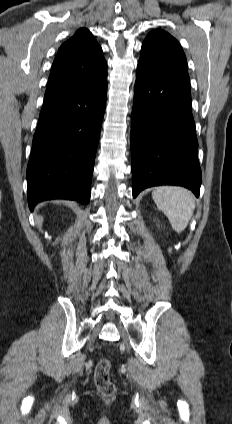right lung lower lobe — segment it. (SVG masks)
Here are the masks:
<instances>
[{"instance_id": "98d812e1", "label": "right lung lower lobe", "mask_w": 232, "mask_h": 424, "mask_svg": "<svg viewBox=\"0 0 232 424\" xmlns=\"http://www.w3.org/2000/svg\"><path fill=\"white\" fill-rule=\"evenodd\" d=\"M106 96L107 80L44 97L27 167L31 210L49 199L89 203Z\"/></svg>"}]
</instances>
